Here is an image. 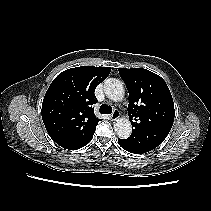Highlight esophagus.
<instances>
[{
    "instance_id": "34e87169",
    "label": "esophagus",
    "mask_w": 211,
    "mask_h": 211,
    "mask_svg": "<svg viewBox=\"0 0 211 211\" xmlns=\"http://www.w3.org/2000/svg\"><path fill=\"white\" fill-rule=\"evenodd\" d=\"M119 116H120L119 111H118V110H114V111L112 112L110 118H111L113 121H115V120H117V119L119 118Z\"/></svg>"
}]
</instances>
